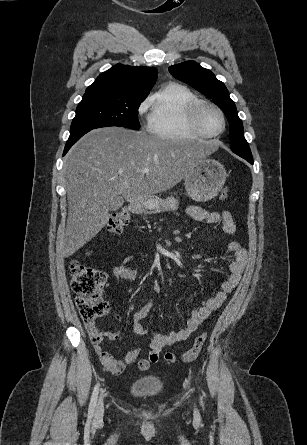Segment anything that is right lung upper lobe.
I'll return each mask as SVG.
<instances>
[{
	"mask_svg": "<svg viewBox=\"0 0 307 445\" xmlns=\"http://www.w3.org/2000/svg\"><path fill=\"white\" fill-rule=\"evenodd\" d=\"M158 77L154 67H132L122 64L100 74L84 96L114 95L147 97Z\"/></svg>",
	"mask_w": 307,
	"mask_h": 445,
	"instance_id": "obj_1",
	"label": "right lung upper lobe"
}]
</instances>
